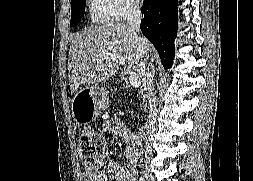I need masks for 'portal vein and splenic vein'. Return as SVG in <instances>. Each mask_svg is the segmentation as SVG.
Masks as SVG:
<instances>
[{
    "label": "portal vein and splenic vein",
    "instance_id": "18ae733b",
    "mask_svg": "<svg viewBox=\"0 0 253 181\" xmlns=\"http://www.w3.org/2000/svg\"><path fill=\"white\" fill-rule=\"evenodd\" d=\"M98 57L99 58H110L120 65H125V62H126V59L118 53L102 52V53L98 54ZM127 77H128L130 84L133 87L137 88L140 86V79L134 71L128 69L127 70Z\"/></svg>",
    "mask_w": 253,
    "mask_h": 181
}]
</instances>
